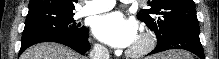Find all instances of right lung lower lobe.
Segmentation results:
<instances>
[{"instance_id":"obj_1","label":"right lung lower lobe","mask_w":219,"mask_h":59,"mask_svg":"<svg viewBox=\"0 0 219 59\" xmlns=\"http://www.w3.org/2000/svg\"><path fill=\"white\" fill-rule=\"evenodd\" d=\"M88 32L85 38H75V37H71V36H50V37H45L42 39H38V40H33L30 42H27L25 44L21 45V49L19 51V55L28 47L37 44V43H41V42H56V43H60L63 45H66L72 49H74L75 51L79 52L80 54H85L89 49H90V43L88 42Z\"/></svg>"}]
</instances>
